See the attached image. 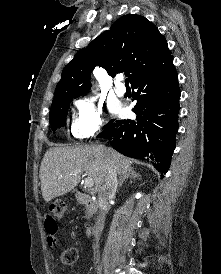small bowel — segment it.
<instances>
[{
    "instance_id": "1",
    "label": "small bowel",
    "mask_w": 221,
    "mask_h": 274,
    "mask_svg": "<svg viewBox=\"0 0 221 274\" xmlns=\"http://www.w3.org/2000/svg\"><path fill=\"white\" fill-rule=\"evenodd\" d=\"M43 227L45 233L47 235V243L50 247L57 246V232H58V224L50 215H45L43 219Z\"/></svg>"
}]
</instances>
